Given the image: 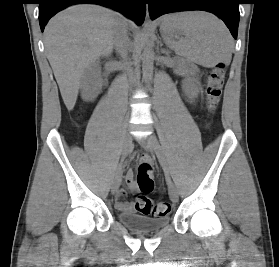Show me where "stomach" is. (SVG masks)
Returning <instances> with one entry per match:
<instances>
[{
    "label": "stomach",
    "mask_w": 279,
    "mask_h": 267,
    "mask_svg": "<svg viewBox=\"0 0 279 267\" xmlns=\"http://www.w3.org/2000/svg\"><path fill=\"white\" fill-rule=\"evenodd\" d=\"M178 22L175 20L174 15L165 17L161 23V29L165 31L174 30Z\"/></svg>",
    "instance_id": "0dacf381"
}]
</instances>
